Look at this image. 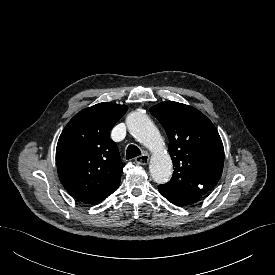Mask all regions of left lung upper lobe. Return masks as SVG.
<instances>
[{
    "label": "left lung upper lobe",
    "instance_id": "left-lung-upper-lobe-1",
    "mask_svg": "<svg viewBox=\"0 0 275 275\" xmlns=\"http://www.w3.org/2000/svg\"><path fill=\"white\" fill-rule=\"evenodd\" d=\"M169 138L175 167L171 180L159 185L165 196L181 200L200 198L218 183L224 165V148L213 123L199 110L174 101L150 108Z\"/></svg>",
    "mask_w": 275,
    "mask_h": 275
}]
</instances>
